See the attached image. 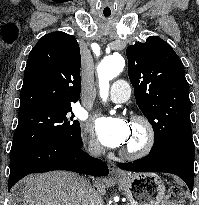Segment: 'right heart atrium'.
Here are the masks:
<instances>
[{"instance_id": "right-heart-atrium-1", "label": "right heart atrium", "mask_w": 199, "mask_h": 205, "mask_svg": "<svg viewBox=\"0 0 199 205\" xmlns=\"http://www.w3.org/2000/svg\"><path fill=\"white\" fill-rule=\"evenodd\" d=\"M87 149H88V152L91 154V155H98L101 151L98 143L94 140H90L88 142V146H87Z\"/></svg>"}]
</instances>
